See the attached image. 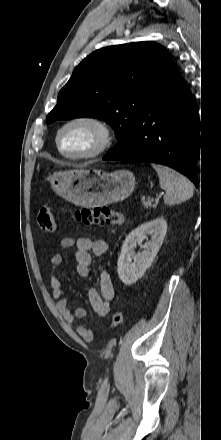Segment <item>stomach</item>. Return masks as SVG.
<instances>
[{"instance_id": "stomach-1", "label": "stomach", "mask_w": 221, "mask_h": 440, "mask_svg": "<svg viewBox=\"0 0 221 440\" xmlns=\"http://www.w3.org/2000/svg\"><path fill=\"white\" fill-rule=\"evenodd\" d=\"M51 188L66 200L86 208L123 201L135 188V176L128 170L101 169L58 171L48 178Z\"/></svg>"}]
</instances>
